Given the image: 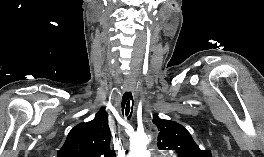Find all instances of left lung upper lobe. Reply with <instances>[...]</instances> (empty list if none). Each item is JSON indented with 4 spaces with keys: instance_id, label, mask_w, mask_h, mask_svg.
<instances>
[{
    "instance_id": "obj_1",
    "label": "left lung upper lobe",
    "mask_w": 264,
    "mask_h": 157,
    "mask_svg": "<svg viewBox=\"0 0 264 157\" xmlns=\"http://www.w3.org/2000/svg\"><path fill=\"white\" fill-rule=\"evenodd\" d=\"M153 123L158 127V147L160 150H173L177 157H212L210 150H201L190 133L181 124L154 116Z\"/></svg>"
}]
</instances>
